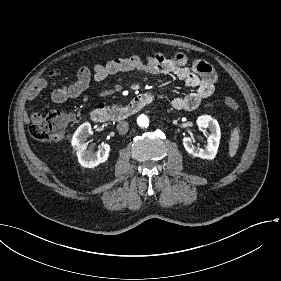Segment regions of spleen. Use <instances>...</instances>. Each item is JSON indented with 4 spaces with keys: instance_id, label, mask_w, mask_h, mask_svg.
<instances>
[{
    "instance_id": "spleen-1",
    "label": "spleen",
    "mask_w": 281,
    "mask_h": 281,
    "mask_svg": "<svg viewBox=\"0 0 281 281\" xmlns=\"http://www.w3.org/2000/svg\"><path fill=\"white\" fill-rule=\"evenodd\" d=\"M240 139L241 137H240L239 127L235 126L234 129L231 131L230 138H229L228 155L231 159H233L238 152Z\"/></svg>"
}]
</instances>
